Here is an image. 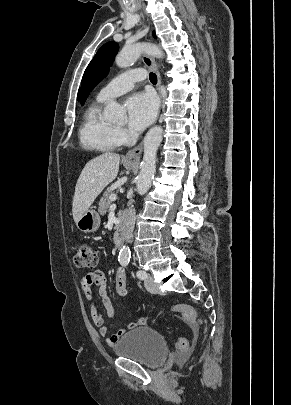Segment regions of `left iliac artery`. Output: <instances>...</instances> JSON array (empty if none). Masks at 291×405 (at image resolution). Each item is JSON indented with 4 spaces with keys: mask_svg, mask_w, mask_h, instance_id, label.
I'll list each match as a JSON object with an SVG mask.
<instances>
[{
    "mask_svg": "<svg viewBox=\"0 0 291 405\" xmlns=\"http://www.w3.org/2000/svg\"><path fill=\"white\" fill-rule=\"evenodd\" d=\"M128 263H129V261H128V262H122L121 264H122V266L126 267V266L128 265ZM136 276H137L139 279H142V280H143V279H145V278L147 277V274H146L145 271L139 270V271L136 272Z\"/></svg>",
    "mask_w": 291,
    "mask_h": 405,
    "instance_id": "obj_1",
    "label": "left iliac artery"
}]
</instances>
